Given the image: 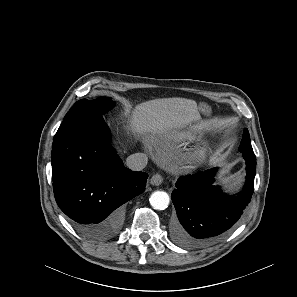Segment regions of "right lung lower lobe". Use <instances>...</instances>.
Returning <instances> with one entry per match:
<instances>
[{
    "label": "right lung lower lobe",
    "instance_id": "obj_1",
    "mask_svg": "<svg viewBox=\"0 0 297 297\" xmlns=\"http://www.w3.org/2000/svg\"><path fill=\"white\" fill-rule=\"evenodd\" d=\"M56 202L74 228L90 239L115 236L123 204L145 190L147 173L124 167L104 121L93 120L56 133L52 144Z\"/></svg>",
    "mask_w": 297,
    "mask_h": 297
}]
</instances>
